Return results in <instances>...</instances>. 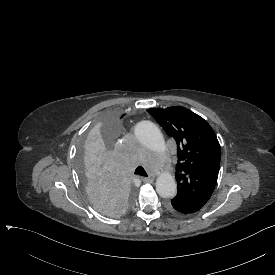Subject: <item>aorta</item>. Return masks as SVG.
<instances>
[{"label": "aorta", "instance_id": "obj_1", "mask_svg": "<svg viewBox=\"0 0 275 275\" xmlns=\"http://www.w3.org/2000/svg\"><path fill=\"white\" fill-rule=\"evenodd\" d=\"M134 133L139 141L148 146L162 147L164 145L162 133L152 121H139L134 127ZM156 191L161 198L175 197L177 185L174 178L169 174H162L156 181Z\"/></svg>", "mask_w": 275, "mask_h": 275}]
</instances>
